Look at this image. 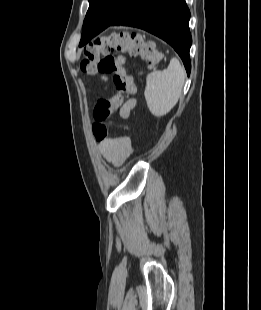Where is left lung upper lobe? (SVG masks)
I'll use <instances>...</instances> for the list:
<instances>
[{
	"mask_svg": "<svg viewBox=\"0 0 261 310\" xmlns=\"http://www.w3.org/2000/svg\"><path fill=\"white\" fill-rule=\"evenodd\" d=\"M89 9L84 23L93 20L109 21L120 11L125 0H88Z\"/></svg>",
	"mask_w": 261,
	"mask_h": 310,
	"instance_id": "obj_1",
	"label": "left lung upper lobe"
}]
</instances>
